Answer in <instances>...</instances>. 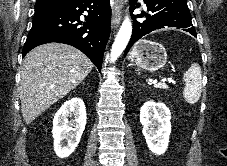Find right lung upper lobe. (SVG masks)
<instances>
[{
	"label": "right lung upper lobe",
	"instance_id": "obj_1",
	"mask_svg": "<svg viewBox=\"0 0 227 166\" xmlns=\"http://www.w3.org/2000/svg\"><path fill=\"white\" fill-rule=\"evenodd\" d=\"M71 0H37L35 6H59Z\"/></svg>",
	"mask_w": 227,
	"mask_h": 166
}]
</instances>
